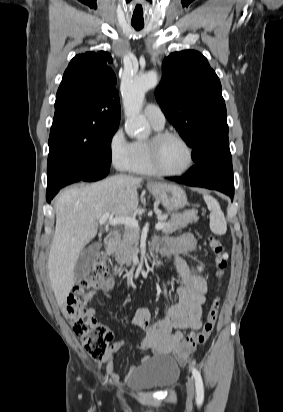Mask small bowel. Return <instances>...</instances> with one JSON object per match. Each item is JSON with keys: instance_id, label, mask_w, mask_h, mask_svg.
Here are the masks:
<instances>
[{"instance_id": "small-bowel-1", "label": "small bowel", "mask_w": 283, "mask_h": 412, "mask_svg": "<svg viewBox=\"0 0 283 412\" xmlns=\"http://www.w3.org/2000/svg\"><path fill=\"white\" fill-rule=\"evenodd\" d=\"M154 244L159 249L170 247L169 252L160 250L164 254L173 256L172 269L178 274L181 284L176 289L177 302L172 303L169 300V283L164 280L160 287V294L165 299L166 310L165 316L152 322L151 313L148 309L140 307L132 317V324L142 329L145 336L138 344L141 350L151 351L155 356L174 355L178 363L183 366L189 358V350L185 353H178L177 345L182 339L185 331L196 330L202 324V304L205 301L207 290L206 279L194 272L187 262V258L195 255L197 250V241L190 232L184 233L176 238H156ZM115 279L109 277L99 284L102 295L110 299L109 291L113 288ZM94 315L95 309H90ZM124 341H113L108 349L107 354L102 359L106 362V372L111 381L116 385H124L127 378L120 377L115 372L114 355L122 348L126 347ZM149 356H144L142 362H147ZM136 369L130 367V372Z\"/></svg>"}]
</instances>
